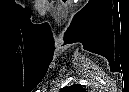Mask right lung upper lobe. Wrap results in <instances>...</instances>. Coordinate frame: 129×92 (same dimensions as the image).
<instances>
[{"label": "right lung upper lobe", "instance_id": "cb5924a9", "mask_svg": "<svg viewBox=\"0 0 129 92\" xmlns=\"http://www.w3.org/2000/svg\"><path fill=\"white\" fill-rule=\"evenodd\" d=\"M82 89V87L81 86H79V85H73V86H71V87H65V88H63L62 90H61V92H70V91H72L73 89Z\"/></svg>", "mask_w": 129, "mask_h": 92}]
</instances>
